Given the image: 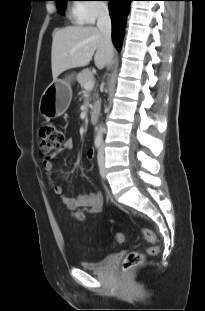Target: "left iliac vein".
Masks as SVG:
<instances>
[{
	"instance_id": "1",
	"label": "left iliac vein",
	"mask_w": 205,
	"mask_h": 311,
	"mask_svg": "<svg viewBox=\"0 0 205 311\" xmlns=\"http://www.w3.org/2000/svg\"><path fill=\"white\" fill-rule=\"evenodd\" d=\"M98 165L100 170V175L102 178L105 177V154H104V146L101 145L98 153Z\"/></svg>"
}]
</instances>
